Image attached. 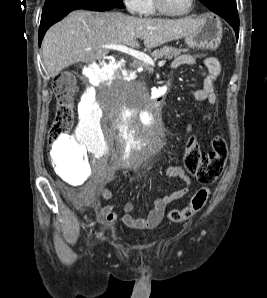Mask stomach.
<instances>
[{"instance_id": "1", "label": "stomach", "mask_w": 267, "mask_h": 298, "mask_svg": "<svg viewBox=\"0 0 267 298\" xmlns=\"http://www.w3.org/2000/svg\"><path fill=\"white\" fill-rule=\"evenodd\" d=\"M201 20L202 25L195 33L185 36V42L191 48L214 50L221 43L222 23L211 15H204Z\"/></svg>"}]
</instances>
